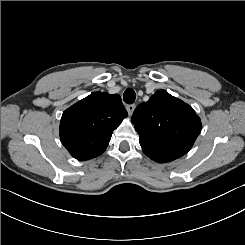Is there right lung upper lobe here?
Returning a JSON list of instances; mask_svg holds the SVG:
<instances>
[{"label": "right lung upper lobe", "instance_id": "cb5924a9", "mask_svg": "<svg viewBox=\"0 0 245 245\" xmlns=\"http://www.w3.org/2000/svg\"><path fill=\"white\" fill-rule=\"evenodd\" d=\"M127 116L118 94L93 92L64 111L61 142L74 158L92 159L106 150L113 130Z\"/></svg>", "mask_w": 245, "mask_h": 245}]
</instances>
